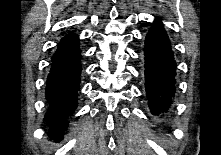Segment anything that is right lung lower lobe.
I'll list each match as a JSON object with an SVG mask.
<instances>
[{
  "instance_id": "right-lung-lower-lobe-1",
  "label": "right lung lower lobe",
  "mask_w": 221,
  "mask_h": 155,
  "mask_svg": "<svg viewBox=\"0 0 221 155\" xmlns=\"http://www.w3.org/2000/svg\"><path fill=\"white\" fill-rule=\"evenodd\" d=\"M81 50L79 38L67 34L52 57V66L47 77L46 98L49 102L45 120L50 125L49 136L56 141L62 138L66 120L77 106L81 75Z\"/></svg>"
}]
</instances>
